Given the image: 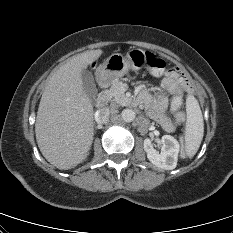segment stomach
Segmentation results:
<instances>
[{
    "label": "stomach",
    "mask_w": 233,
    "mask_h": 233,
    "mask_svg": "<svg viewBox=\"0 0 233 233\" xmlns=\"http://www.w3.org/2000/svg\"><path fill=\"white\" fill-rule=\"evenodd\" d=\"M145 58L146 54L142 49H130L125 56L114 53L99 67V76L105 82H113L127 74L129 70L142 69Z\"/></svg>",
    "instance_id": "stomach-1"
}]
</instances>
